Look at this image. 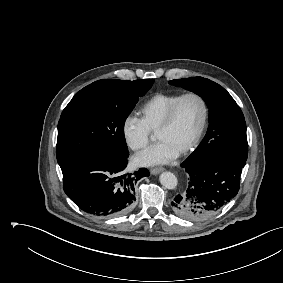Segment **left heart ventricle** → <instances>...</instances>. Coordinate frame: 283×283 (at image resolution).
<instances>
[{
    "mask_svg": "<svg viewBox=\"0 0 283 283\" xmlns=\"http://www.w3.org/2000/svg\"><path fill=\"white\" fill-rule=\"evenodd\" d=\"M202 118V108L195 98L183 101L172 126L157 133L160 141H166L181 152L195 137Z\"/></svg>",
    "mask_w": 283,
    "mask_h": 283,
    "instance_id": "obj_1",
    "label": "left heart ventricle"
}]
</instances>
